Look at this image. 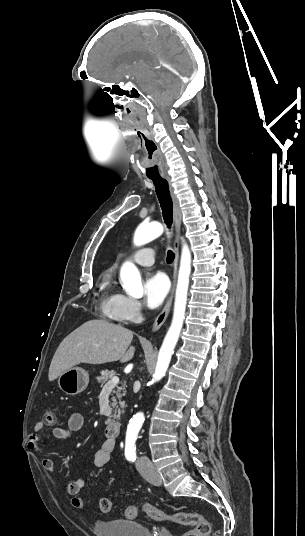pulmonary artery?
Wrapping results in <instances>:
<instances>
[{"label":"pulmonary artery","instance_id":"e3ab8cb5","mask_svg":"<svg viewBox=\"0 0 305 536\" xmlns=\"http://www.w3.org/2000/svg\"><path fill=\"white\" fill-rule=\"evenodd\" d=\"M131 260L141 266H151L155 262V250L152 247H144L136 251Z\"/></svg>","mask_w":305,"mask_h":536}]
</instances>
